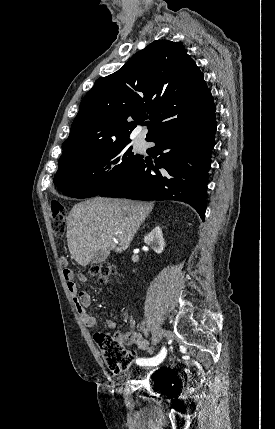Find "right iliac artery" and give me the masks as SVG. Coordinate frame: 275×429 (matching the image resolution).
Instances as JSON below:
<instances>
[{
  "label": "right iliac artery",
  "mask_w": 275,
  "mask_h": 429,
  "mask_svg": "<svg viewBox=\"0 0 275 429\" xmlns=\"http://www.w3.org/2000/svg\"><path fill=\"white\" fill-rule=\"evenodd\" d=\"M166 356V349L162 348L160 353L152 358H138L136 363L140 366H156L163 361Z\"/></svg>",
  "instance_id": "82829eb1"
}]
</instances>
